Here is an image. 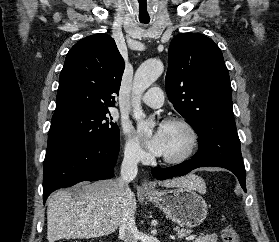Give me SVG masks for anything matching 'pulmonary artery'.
<instances>
[{
    "label": "pulmonary artery",
    "instance_id": "1",
    "mask_svg": "<svg viewBox=\"0 0 279 242\" xmlns=\"http://www.w3.org/2000/svg\"><path fill=\"white\" fill-rule=\"evenodd\" d=\"M142 102L149 107H153V108L161 107L164 102L162 90L158 87L151 88L142 97Z\"/></svg>",
    "mask_w": 279,
    "mask_h": 242
}]
</instances>
